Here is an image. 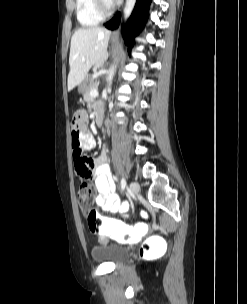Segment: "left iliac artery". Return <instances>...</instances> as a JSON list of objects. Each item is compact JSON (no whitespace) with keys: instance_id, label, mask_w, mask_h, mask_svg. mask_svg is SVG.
Segmentation results:
<instances>
[{"instance_id":"44dca946","label":"left iliac artery","mask_w":247,"mask_h":304,"mask_svg":"<svg viewBox=\"0 0 247 304\" xmlns=\"http://www.w3.org/2000/svg\"><path fill=\"white\" fill-rule=\"evenodd\" d=\"M126 185H127V183H126L125 178H122V179H121V190H122V191L125 189Z\"/></svg>"}]
</instances>
